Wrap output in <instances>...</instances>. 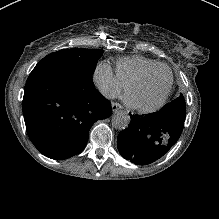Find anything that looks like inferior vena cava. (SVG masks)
<instances>
[{"mask_svg": "<svg viewBox=\"0 0 219 219\" xmlns=\"http://www.w3.org/2000/svg\"><path fill=\"white\" fill-rule=\"evenodd\" d=\"M100 91L106 98L113 99L117 97V93L108 87H100Z\"/></svg>", "mask_w": 219, "mask_h": 219, "instance_id": "1", "label": "inferior vena cava"}]
</instances>
